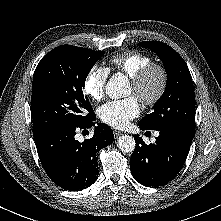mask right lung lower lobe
I'll use <instances>...</instances> for the list:
<instances>
[{"mask_svg":"<svg viewBox=\"0 0 221 221\" xmlns=\"http://www.w3.org/2000/svg\"><path fill=\"white\" fill-rule=\"evenodd\" d=\"M95 115L80 125L55 126L34 134L41 164L49 178L66 190L80 191L98 177L97 152L114 140L109 126L99 123L92 138L80 143L76 130L92 127Z\"/></svg>","mask_w":221,"mask_h":221,"instance_id":"98d812e1","label":"right lung lower lobe"}]
</instances>
